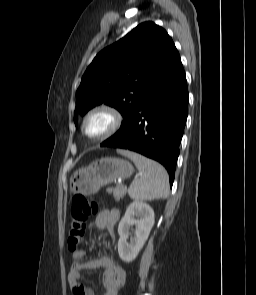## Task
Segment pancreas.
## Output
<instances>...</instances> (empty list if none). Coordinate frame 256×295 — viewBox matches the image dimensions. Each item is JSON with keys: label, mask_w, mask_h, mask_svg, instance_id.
<instances>
[{"label": "pancreas", "mask_w": 256, "mask_h": 295, "mask_svg": "<svg viewBox=\"0 0 256 295\" xmlns=\"http://www.w3.org/2000/svg\"><path fill=\"white\" fill-rule=\"evenodd\" d=\"M107 191L113 194L116 201H119L121 198H123L127 192L123 185H117L116 187L108 188Z\"/></svg>", "instance_id": "pancreas-1"}]
</instances>
